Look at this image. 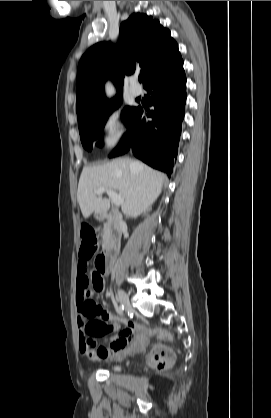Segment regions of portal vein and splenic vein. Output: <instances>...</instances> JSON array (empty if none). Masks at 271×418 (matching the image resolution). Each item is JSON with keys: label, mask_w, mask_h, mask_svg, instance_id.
Wrapping results in <instances>:
<instances>
[{"label": "portal vein and splenic vein", "mask_w": 271, "mask_h": 418, "mask_svg": "<svg viewBox=\"0 0 271 418\" xmlns=\"http://www.w3.org/2000/svg\"><path fill=\"white\" fill-rule=\"evenodd\" d=\"M104 192L108 194L109 198L112 200V203L114 205L116 206L122 205L123 199L120 197V195H118L116 192L112 191L111 189L102 187V188L95 190V193L97 195H101Z\"/></svg>", "instance_id": "portal-vein-and-splenic-vein-1"}]
</instances>
